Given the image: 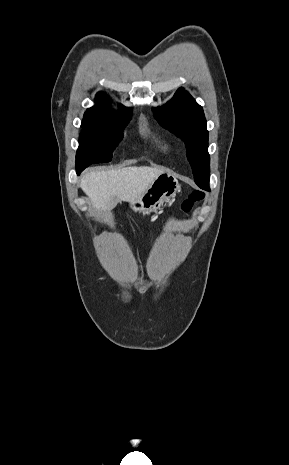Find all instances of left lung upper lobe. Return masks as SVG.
<instances>
[{
    "label": "left lung upper lobe",
    "mask_w": 289,
    "mask_h": 465,
    "mask_svg": "<svg viewBox=\"0 0 289 465\" xmlns=\"http://www.w3.org/2000/svg\"><path fill=\"white\" fill-rule=\"evenodd\" d=\"M153 111L164 128L185 142L194 180L200 188L209 190L208 131L202 107L187 91L179 88L169 103Z\"/></svg>",
    "instance_id": "1"
}]
</instances>
